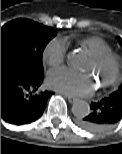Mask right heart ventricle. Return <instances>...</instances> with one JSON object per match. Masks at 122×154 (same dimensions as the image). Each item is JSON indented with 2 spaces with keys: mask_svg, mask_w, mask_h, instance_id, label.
Instances as JSON below:
<instances>
[{
  "mask_svg": "<svg viewBox=\"0 0 122 154\" xmlns=\"http://www.w3.org/2000/svg\"><path fill=\"white\" fill-rule=\"evenodd\" d=\"M69 37L65 38V41ZM77 44L85 48L91 57H98L112 52L110 45L103 39L97 37H84L77 40Z\"/></svg>",
  "mask_w": 122,
  "mask_h": 154,
  "instance_id": "obj_1",
  "label": "right heart ventricle"
}]
</instances>
